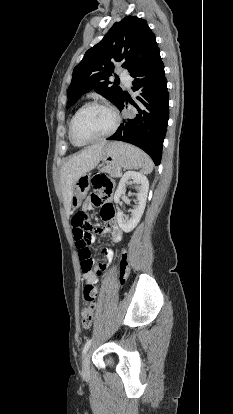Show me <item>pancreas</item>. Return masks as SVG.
<instances>
[{
  "mask_svg": "<svg viewBox=\"0 0 233 414\" xmlns=\"http://www.w3.org/2000/svg\"><path fill=\"white\" fill-rule=\"evenodd\" d=\"M102 171L107 172L111 177H120L121 176V170L119 168L105 167V168L102 169Z\"/></svg>",
  "mask_w": 233,
  "mask_h": 414,
  "instance_id": "pancreas-1",
  "label": "pancreas"
}]
</instances>
